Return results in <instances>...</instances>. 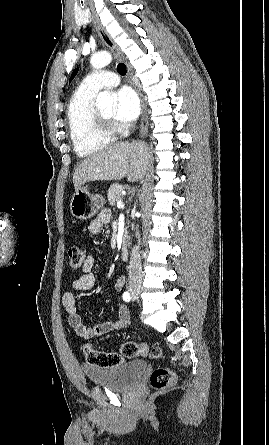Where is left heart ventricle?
I'll use <instances>...</instances> for the list:
<instances>
[{
    "instance_id": "obj_1",
    "label": "left heart ventricle",
    "mask_w": 269,
    "mask_h": 445,
    "mask_svg": "<svg viewBox=\"0 0 269 445\" xmlns=\"http://www.w3.org/2000/svg\"><path fill=\"white\" fill-rule=\"evenodd\" d=\"M101 114L104 115L107 118H112L114 115V109H109L105 111H101Z\"/></svg>"
}]
</instances>
